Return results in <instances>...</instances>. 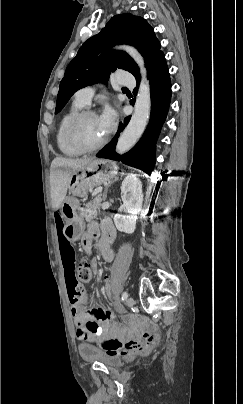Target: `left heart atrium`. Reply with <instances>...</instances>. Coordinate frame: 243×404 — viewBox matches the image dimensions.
<instances>
[{"mask_svg":"<svg viewBox=\"0 0 243 404\" xmlns=\"http://www.w3.org/2000/svg\"><path fill=\"white\" fill-rule=\"evenodd\" d=\"M98 120L102 134L106 137L114 130L117 116L111 107L105 106L102 113L98 116Z\"/></svg>","mask_w":243,"mask_h":404,"instance_id":"1","label":"left heart atrium"}]
</instances>
